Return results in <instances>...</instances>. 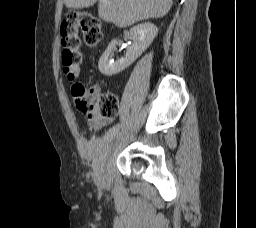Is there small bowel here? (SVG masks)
I'll return each mask as SVG.
<instances>
[{"label": "small bowel", "mask_w": 256, "mask_h": 228, "mask_svg": "<svg viewBox=\"0 0 256 228\" xmlns=\"http://www.w3.org/2000/svg\"><path fill=\"white\" fill-rule=\"evenodd\" d=\"M93 90L96 93H99L100 92V87L96 85V86L93 87ZM110 121H111V119L93 118L90 121V126L93 127L94 129H99V128L107 125Z\"/></svg>", "instance_id": "small-bowel-1"}]
</instances>
